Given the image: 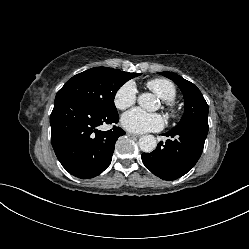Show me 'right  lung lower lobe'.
I'll return each mask as SVG.
<instances>
[{
  "instance_id": "98d812e1",
  "label": "right lung lower lobe",
  "mask_w": 249,
  "mask_h": 249,
  "mask_svg": "<svg viewBox=\"0 0 249 249\" xmlns=\"http://www.w3.org/2000/svg\"><path fill=\"white\" fill-rule=\"evenodd\" d=\"M118 120L117 112H98L72 97H56L50 116L51 142L62 166L82 179L101 174L110 165L115 142L125 131L116 126L108 131L97 127Z\"/></svg>"
}]
</instances>
